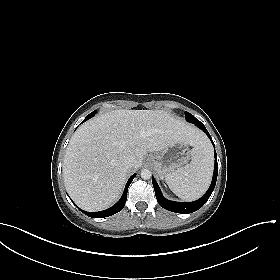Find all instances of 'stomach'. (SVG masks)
<instances>
[{
  "mask_svg": "<svg viewBox=\"0 0 280 280\" xmlns=\"http://www.w3.org/2000/svg\"><path fill=\"white\" fill-rule=\"evenodd\" d=\"M192 150H188L184 142H175L160 152L152 154L148 158L149 164L161 177L183 167L191 158Z\"/></svg>",
  "mask_w": 280,
  "mask_h": 280,
  "instance_id": "stomach-1",
  "label": "stomach"
}]
</instances>
